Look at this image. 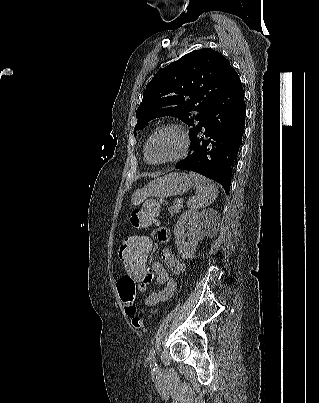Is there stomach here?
Listing matches in <instances>:
<instances>
[{"mask_svg": "<svg viewBox=\"0 0 319 403\" xmlns=\"http://www.w3.org/2000/svg\"><path fill=\"white\" fill-rule=\"evenodd\" d=\"M193 186L192 178L186 173L172 172L152 180L147 186L136 190L131 201L140 205L148 197L167 198L186 193Z\"/></svg>", "mask_w": 319, "mask_h": 403, "instance_id": "stomach-1", "label": "stomach"}]
</instances>
